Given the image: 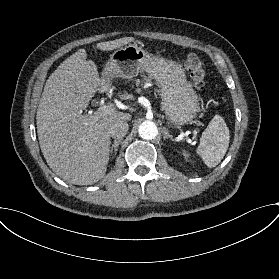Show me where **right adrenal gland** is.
Instances as JSON below:
<instances>
[{"instance_id": "1", "label": "right adrenal gland", "mask_w": 279, "mask_h": 279, "mask_svg": "<svg viewBox=\"0 0 279 279\" xmlns=\"http://www.w3.org/2000/svg\"><path fill=\"white\" fill-rule=\"evenodd\" d=\"M123 139H118L114 142V144L110 148V155L116 156L118 146L122 143Z\"/></svg>"}]
</instances>
